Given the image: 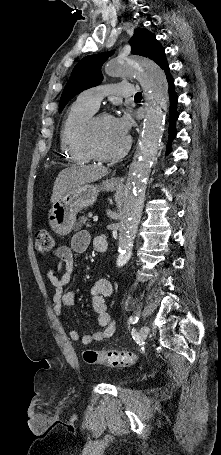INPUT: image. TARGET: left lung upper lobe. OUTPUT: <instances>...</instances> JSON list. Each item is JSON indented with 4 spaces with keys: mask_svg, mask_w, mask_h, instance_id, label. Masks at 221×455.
<instances>
[{
    "mask_svg": "<svg viewBox=\"0 0 221 455\" xmlns=\"http://www.w3.org/2000/svg\"><path fill=\"white\" fill-rule=\"evenodd\" d=\"M130 44L132 54L148 57L155 61L162 69L168 65L164 48L156 40L155 35L148 30L144 28L135 29ZM109 55H111V53L88 55L77 63L63 90L59 102V112L63 110L65 105L75 95L101 83L103 79L101 66Z\"/></svg>",
    "mask_w": 221,
    "mask_h": 455,
    "instance_id": "obj_1",
    "label": "left lung upper lobe"
}]
</instances>
